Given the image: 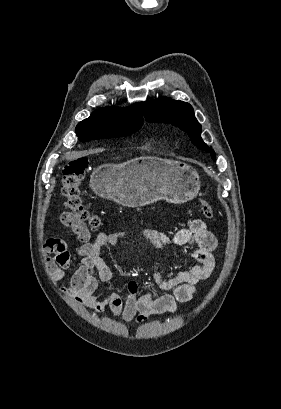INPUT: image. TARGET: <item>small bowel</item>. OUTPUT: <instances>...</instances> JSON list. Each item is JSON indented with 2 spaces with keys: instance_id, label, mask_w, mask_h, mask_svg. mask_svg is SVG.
Listing matches in <instances>:
<instances>
[{
  "instance_id": "c3829d8e",
  "label": "small bowel",
  "mask_w": 281,
  "mask_h": 409,
  "mask_svg": "<svg viewBox=\"0 0 281 409\" xmlns=\"http://www.w3.org/2000/svg\"><path fill=\"white\" fill-rule=\"evenodd\" d=\"M61 223L71 228L80 242L74 250L78 262L65 293L72 296L77 303L96 312L109 308L114 316L120 317L127 324H141L154 315L175 313L178 304L193 297L197 283L208 279L216 265L217 239L204 221L190 219L185 228L169 235L146 229L142 235L157 248L164 245H196L191 257L198 264L189 265L184 270L164 277L159 271L158 259L154 260V279L157 286L163 290H172V295L154 297L150 292L140 295L135 280L127 282L128 294L125 298L117 293L104 295L100 284L111 280L112 271L102 258V250L105 246L115 244L124 234L100 232L91 239L84 223L68 211L61 214ZM43 251L48 272L54 280L61 279L71 264V254L66 243L59 238L47 239ZM50 253H55V257H49Z\"/></svg>"
}]
</instances>
